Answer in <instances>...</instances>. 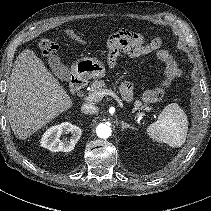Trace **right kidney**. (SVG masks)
Returning <instances> with one entry per match:
<instances>
[{
  "label": "right kidney",
  "instance_id": "right-kidney-1",
  "mask_svg": "<svg viewBox=\"0 0 211 211\" xmlns=\"http://www.w3.org/2000/svg\"><path fill=\"white\" fill-rule=\"evenodd\" d=\"M71 132L70 139H60L63 133ZM82 130L71 123L65 122L47 129L41 139V146L52 152H69L74 149L80 139Z\"/></svg>",
  "mask_w": 211,
  "mask_h": 211
}]
</instances>
